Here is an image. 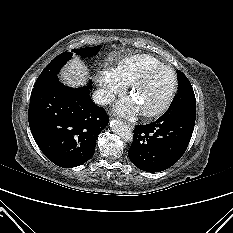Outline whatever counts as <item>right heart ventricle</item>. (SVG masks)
<instances>
[{
  "instance_id": "obj_1",
  "label": "right heart ventricle",
  "mask_w": 233,
  "mask_h": 233,
  "mask_svg": "<svg viewBox=\"0 0 233 233\" xmlns=\"http://www.w3.org/2000/svg\"><path fill=\"white\" fill-rule=\"evenodd\" d=\"M163 65L158 59L150 55H134L119 62L116 71L127 86L130 85L145 70Z\"/></svg>"
}]
</instances>
